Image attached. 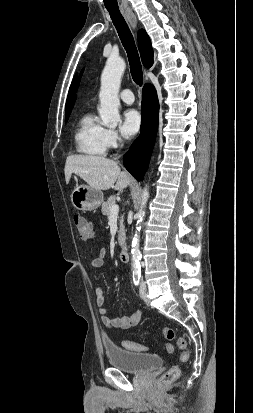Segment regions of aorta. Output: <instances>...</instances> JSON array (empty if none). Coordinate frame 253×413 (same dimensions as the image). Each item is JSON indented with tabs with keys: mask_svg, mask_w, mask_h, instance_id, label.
Instances as JSON below:
<instances>
[{
	"mask_svg": "<svg viewBox=\"0 0 253 413\" xmlns=\"http://www.w3.org/2000/svg\"><path fill=\"white\" fill-rule=\"evenodd\" d=\"M126 64L125 61L118 57V58H109L106 62L104 70L101 75V87L99 93L100 99V108L99 114L102 120V124L104 126L115 128L118 123L120 122V113H119V106L120 100L118 97L121 78L125 71ZM149 198V192L147 187L143 189L141 195V206L140 210L137 213V226L133 240H132V248H131V265L133 272L140 271V260H141V252L139 249L140 243V230H141V222L143 217L142 209L145 207Z\"/></svg>",
	"mask_w": 253,
	"mask_h": 413,
	"instance_id": "obj_1",
	"label": "aorta"
}]
</instances>
